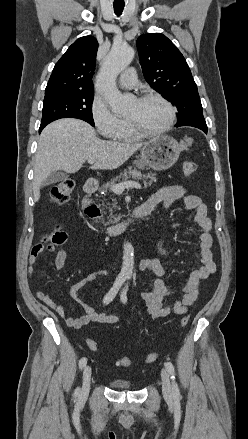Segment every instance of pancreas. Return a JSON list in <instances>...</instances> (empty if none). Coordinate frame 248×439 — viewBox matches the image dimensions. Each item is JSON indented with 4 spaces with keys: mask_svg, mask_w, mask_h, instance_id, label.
Returning <instances> with one entry per match:
<instances>
[{
    "mask_svg": "<svg viewBox=\"0 0 248 439\" xmlns=\"http://www.w3.org/2000/svg\"><path fill=\"white\" fill-rule=\"evenodd\" d=\"M130 177H132L133 179H135V180H137V179H141L142 180V182H143V184H144V187L145 188H147V187H150L151 185H152V182H155L156 181V174L155 173H149V174H141V171H139V170H137V169H132L131 167L130 168H128L127 170H124V172L123 173H120V175H118L117 177H115L114 179H112L111 181H109V182H107L106 184H103L101 187H100V190H103L106 194H107V192H108V190H110L111 189V187L116 183V182H118V181H120V180H122V181H125V180H127V179H129ZM112 206L113 207H109V209H110V212H112V208H114V209H116V208H118L117 206H116V200L115 199H112ZM107 205H110L109 203H107ZM103 206H105L104 204H103ZM111 217L114 219V221H109V222H106V223H104V226H107V225H110L112 222L113 223H117V222H119V220H120V215H111Z\"/></svg>",
    "mask_w": 248,
    "mask_h": 439,
    "instance_id": "cf45deb5",
    "label": "pancreas"
}]
</instances>
